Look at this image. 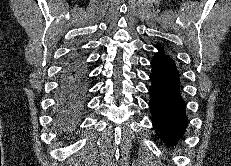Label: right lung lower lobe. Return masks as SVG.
<instances>
[{"label":"right lung lower lobe","instance_id":"obj_1","mask_svg":"<svg viewBox=\"0 0 231 166\" xmlns=\"http://www.w3.org/2000/svg\"><path fill=\"white\" fill-rule=\"evenodd\" d=\"M88 90L84 53L74 51L62 71L54 106V123L60 131H72L82 117Z\"/></svg>","mask_w":231,"mask_h":166}]
</instances>
